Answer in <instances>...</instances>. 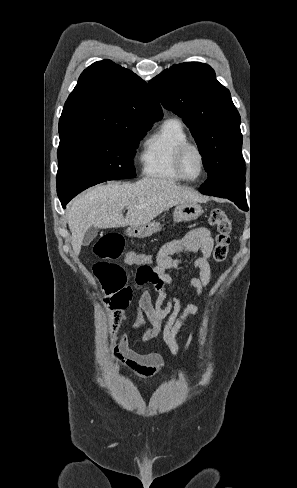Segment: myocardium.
<instances>
[{
  "label": "myocardium",
  "mask_w": 297,
  "mask_h": 488,
  "mask_svg": "<svg viewBox=\"0 0 297 488\" xmlns=\"http://www.w3.org/2000/svg\"><path fill=\"white\" fill-rule=\"evenodd\" d=\"M190 149H193V150H195L198 153V155L200 157V161H201V169H200L199 174L196 177H189V176H187V174L185 173L184 168H183V159H184V156H185L186 152L188 150H190ZM174 167H175V170L178 173V175L183 180H186V181H189V182L196 181L199 178H201L202 175L206 171V158H205V154H204L203 150L197 144H195V143H193L191 141L186 142V143H183L182 145L179 146V148L176 151V154H175V157H174Z\"/></svg>",
  "instance_id": "f54148a6"
}]
</instances>
